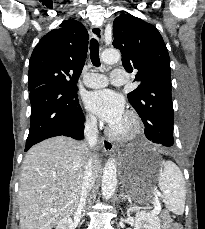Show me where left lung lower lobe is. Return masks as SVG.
Instances as JSON below:
<instances>
[{"instance_id": "1", "label": "left lung lower lobe", "mask_w": 205, "mask_h": 229, "mask_svg": "<svg viewBox=\"0 0 205 229\" xmlns=\"http://www.w3.org/2000/svg\"><path fill=\"white\" fill-rule=\"evenodd\" d=\"M156 127L160 126H153V132L145 134L151 142L161 144L162 142L165 143V141L170 139V136L168 135V133L165 132L164 128Z\"/></svg>"}]
</instances>
